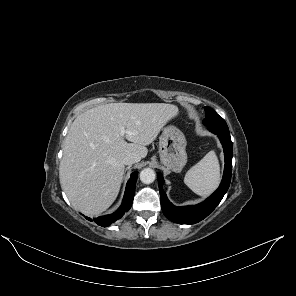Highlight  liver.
Wrapping results in <instances>:
<instances>
[{
    "mask_svg": "<svg viewBox=\"0 0 296 296\" xmlns=\"http://www.w3.org/2000/svg\"><path fill=\"white\" fill-rule=\"evenodd\" d=\"M177 115V106L165 103H110L80 114L65 138L59 167L60 184L72 206L91 216L108 209L120 190L123 158H145V146Z\"/></svg>",
    "mask_w": 296,
    "mask_h": 296,
    "instance_id": "1",
    "label": "liver"
}]
</instances>
